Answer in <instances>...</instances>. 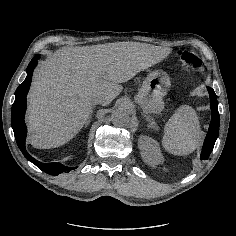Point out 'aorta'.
Wrapping results in <instances>:
<instances>
[{
    "label": "aorta",
    "mask_w": 236,
    "mask_h": 236,
    "mask_svg": "<svg viewBox=\"0 0 236 236\" xmlns=\"http://www.w3.org/2000/svg\"><path fill=\"white\" fill-rule=\"evenodd\" d=\"M111 120L115 126L124 127L129 123L130 116L127 110L118 108L112 112Z\"/></svg>",
    "instance_id": "obj_1"
}]
</instances>
